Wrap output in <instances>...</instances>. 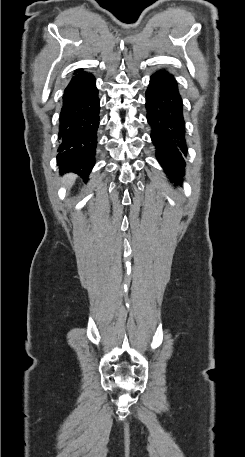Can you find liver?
Returning <instances> with one entry per match:
<instances>
[{
  "mask_svg": "<svg viewBox=\"0 0 245 457\" xmlns=\"http://www.w3.org/2000/svg\"><path fill=\"white\" fill-rule=\"evenodd\" d=\"M76 178V174H66V176H63V180L67 186H71L73 184L74 180Z\"/></svg>",
  "mask_w": 245,
  "mask_h": 457,
  "instance_id": "obj_1",
  "label": "liver"
}]
</instances>
